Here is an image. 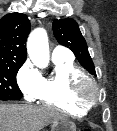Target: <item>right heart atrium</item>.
I'll use <instances>...</instances> for the list:
<instances>
[{"label": "right heart atrium", "instance_id": "1", "mask_svg": "<svg viewBox=\"0 0 117 131\" xmlns=\"http://www.w3.org/2000/svg\"><path fill=\"white\" fill-rule=\"evenodd\" d=\"M17 84L27 100H35L42 85V75L27 61L17 73Z\"/></svg>", "mask_w": 117, "mask_h": 131}]
</instances>
